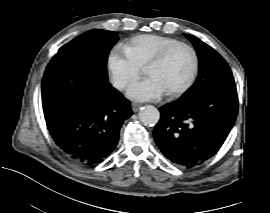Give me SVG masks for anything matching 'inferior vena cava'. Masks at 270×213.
I'll use <instances>...</instances> for the list:
<instances>
[{"instance_id":"obj_1","label":"inferior vena cava","mask_w":270,"mask_h":213,"mask_svg":"<svg viewBox=\"0 0 270 213\" xmlns=\"http://www.w3.org/2000/svg\"><path fill=\"white\" fill-rule=\"evenodd\" d=\"M116 87L119 88V89H121V88L124 87V83H121V82L120 83H117L116 84Z\"/></svg>"}]
</instances>
